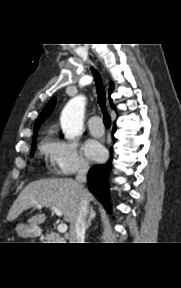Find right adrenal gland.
Segmentation results:
<instances>
[{
	"mask_svg": "<svg viewBox=\"0 0 181 288\" xmlns=\"http://www.w3.org/2000/svg\"><path fill=\"white\" fill-rule=\"evenodd\" d=\"M95 218V211L93 210V207H91L90 209V215H89V218H88V221H87V224H86V230L90 227L91 225V221L92 219Z\"/></svg>",
	"mask_w": 181,
	"mask_h": 288,
	"instance_id": "1",
	"label": "right adrenal gland"
}]
</instances>
